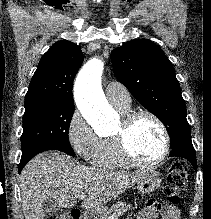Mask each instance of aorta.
<instances>
[{
	"instance_id": "obj_1",
	"label": "aorta",
	"mask_w": 211,
	"mask_h": 219,
	"mask_svg": "<svg viewBox=\"0 0 211 219\" xmlns=\"http://www.w3.org/2000/svg\"><path fill=\"white\" fill-rule=\"evenodd\" d=\"M103 66L98 58L91 59L80 70L74 85L76 105L97 134L105 132L115 118L101 88Z\"/></svg>"
}]
</instances>
